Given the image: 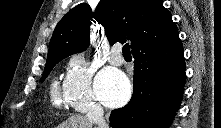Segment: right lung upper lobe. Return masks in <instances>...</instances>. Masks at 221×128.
Listing matches in <instances>:
<instances>
[{
    "label": "right lung upper lobe",
    "mask_w": 221,
    "mask_h": 128,
    "mask_svg": "<svg viewBox=\"0 0 221 128\" xmlns=\"http://www.w3.org/2000/svg\"><path fill=\"white\" fill-rule=\"evenodd\" d=\"M91 21L105 27L110 43L130 40L132 52L164 47L179 34L162 0H100L94 13L81 3L57 24L46 64L86 50Z\"/></svg>",
    "instance_id": "right-lung-upper-lobe-1"
}]
</instances>
